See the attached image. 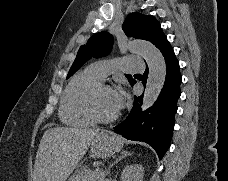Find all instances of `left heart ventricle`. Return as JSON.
I'll return each instance as SVG.
<instances>
[{
	"instance_id": "obj_1",
	"label": "left heart ventricle",
	"mask_w": 228,
	"mask_h": 181,
	"mask_svg": "<svg viewBox=\"0 0 228 181\" xmlns=\"http://www.w3.org/2000/svg\"><path fill=\"white\" fill-rule=\"evenodd\" d=\"M115 91L113 89H104L98 96V107L102 114L111 115L115 111Z\"/></svg>"
}]
</instances>
